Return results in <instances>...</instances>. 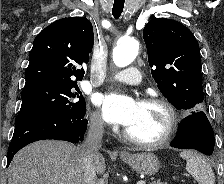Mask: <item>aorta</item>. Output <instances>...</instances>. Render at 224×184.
Masks as SVG:
<instances>
[{"mask_svg":"<svg viewBox=\"0 0 224 184\" xmlns=\"http://www.w3.org/2000/svg\"><path fill=\"white\" fill-rule=\"evenodd\" d=\"M139 43L133 38H121L113 49V61L118 67L131 64L138 54Z\"/></svg>","mask_w":224,"mask_h":184,"instance_id":"obj_1","label":"aorta"}]
</instances>
